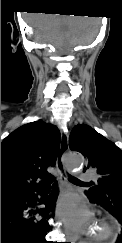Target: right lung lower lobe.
<instances>
[{
    "label": "right lung lower lobe",
    "mask_w": 122,
    "mask_h": 243,
    "mask_svg": "<svg viewBox=\"0 0 122 243\" xmlns=\"http://www.w3.org/2000/svg\"><path fill=\"white\" fill-rule=\"evenodd\" d=\"M42 187L40 184L1 198V243H47L48 213L55 207L56 182L52 193L40 202L45 207L34 209L40 201L37 194H41Z\"/></svg>",
    "instance_id": "98d812e1"
}]
</instances>
